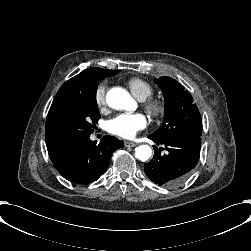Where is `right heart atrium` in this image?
<instances>
[{
	"label": "right heart atrium",
	"instance_id": "right-heart-atrium-1",
	"mask_svg": "<svg viewBox=\"0 0 251 251\" xmlns=\"http://www.w3.org/2000/svg\"><path fill=\"white\" fill-rule=\"evenodd\" d=\"M94 100L99 109H102L106 105V86L104 84H100L96 87Z\"/></svg>",
	"mask_w": 251,
	"mask_h": 251
}]
</instances>
